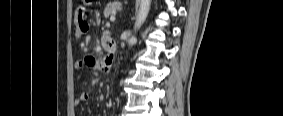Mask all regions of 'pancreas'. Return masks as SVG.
<instances>
[{
	"mask_svg": "<svg viewBox=\"0 0 283 116\" xmlns=\"http://www.w3.org/2000/svg\"><path fill=\"white\" fill-rule=\"evenodd\" d=\"M121 7V3L119 1H114L113 3H109L105 10H104V16L105 18L109 17L110 15H113L116 13V11Z\"/></svg>",
	"mask_w": 283,
	"mask_h": 116,
	"instance_id": "obj_1",
	"label": "pancreas"
}]
</instances>
